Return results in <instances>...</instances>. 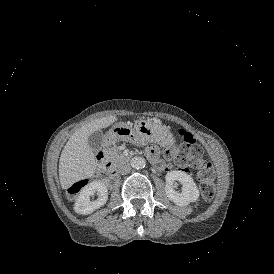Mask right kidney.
Wrapping results in <instances>:
<instances>
[{
    "label": "right kidney",
    "instance_id": "right-kidney-1",
    "mask_svg": "<svg viewBox=\"0 0 274 274\" xmlns=\"http://www.w3.org/2000/svg\"><path fill=\"white\" fill-rule=\"evenodd\" d=\"M96 192L98 199L95 201H90V196ZM107 200V187L100 181H93L80 190L74 204V211L78 214L88 215L103 206Z\"/></svg>",
    "mask_w": 274,
    "mask_h": 274
}]
</instances>
